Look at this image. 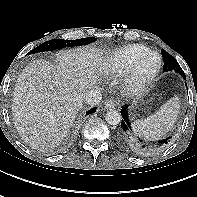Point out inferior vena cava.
<instances>
[{"label":"inferior vena cava","mask_w":197,"mask_h":197,"mask_svg":"<svg viewBox=\"0 0 197 197\" xmlns=\"http://www.w3.org/2000/svg\"><path fill=\"white\" fill-rule=\"evenodd\" d=\"M102 99V93L98 89H91L84 94V100L91 106L97 105Z\"/></svg>","instance_id":"602c4592"}]
</instances>
